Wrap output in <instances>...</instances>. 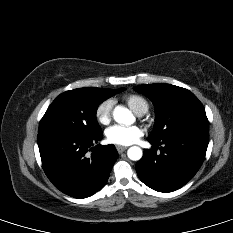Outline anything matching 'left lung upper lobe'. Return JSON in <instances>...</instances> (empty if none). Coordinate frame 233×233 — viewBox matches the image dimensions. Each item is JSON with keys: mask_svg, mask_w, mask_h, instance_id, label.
Here are the masks:
<instances>
[{"mask_svg": "<svg viewBox=\"0 0 233 233\" xmlns=\"http://www.w3.org/2000/svg\"><path fill=\"white\" fill-rule=\"evenodd\" d=\"M134 89L147 96L155 107L156 120L149 139L160 141L193 132L209 134L205 109L189 90L170 84H144Z\"/></svg>", "mask_w": 233, "mask_h": 233, "instance_id": "5c2ea615", "label": "left lung upper lobe"}]
</instances>
